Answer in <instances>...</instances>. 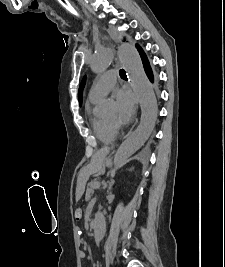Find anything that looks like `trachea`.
<instances>
[{
    "instance_id": "3493384b",
    "label": "trachea",
    "mask_w": 225,
    "mask_h": 267,
    "mask_svg": "<svg viewBox=\"0 0 225 267\" xmlns=\"http://www.w3.org/2000/svg\"><path fill=\"white\" fill-rule=\"evenodd\" d=\"M119 74L121 77H126V72L123 69L120 70Z\"/></svg>"
}]
</instances>
